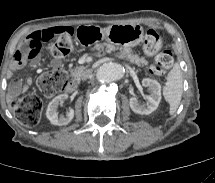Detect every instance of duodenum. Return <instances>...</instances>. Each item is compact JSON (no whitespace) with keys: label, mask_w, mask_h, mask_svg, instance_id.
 Instances as JSON below:
<instances>
[{"label":"duodenum","mask_w":215,"mask_h":183,"mask_svg":"<svg viewBox=\"0 0 215 183\" xmlns=\"http://www.w3.org/2000/svg\"><path fill=\"white\" fill-rule=\"evenodd\" d=\"M75 87H76V85L74 82H69L65 87V91L68 93L73 92Z\"/></svg>","instance_id":"obj_1"}]
</instances>
